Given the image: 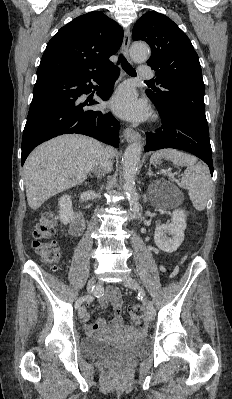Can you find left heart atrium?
I'll list each match as a JSON object with an SVG mask.
<instances>
[{
    "label": "left heart atrium",
    "instance_id": "1",
    "mask_svg": "<svg viewBox=\"0 0 232 399\" xmlns=\"http://www.w3.org/2000/svg\"><path fill=\"white\" fill-rule=\"evenodd\" d=\"M110 108L118 117L132 122L143 121L149 115L147 104L139 100L130 88H121L112 99Z\"/></svg>",
    "mask_w": 232,
    "mask_h": 399
}]
</instances>
